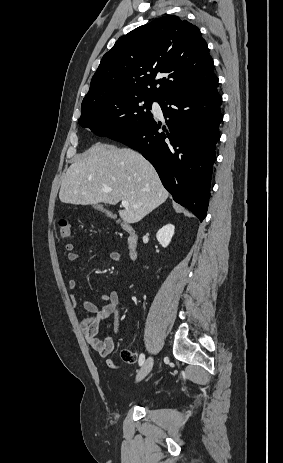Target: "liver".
Instances as JSON below:
<instances>
[{
    "label": "liver",
    "instance_id": "1",
    "mask_svg": "<svg viewBox=\"0 0 283 463\" xmlns=\"http://www.w3.org/2000/svg\"><path fill=\"white\" fill-rule=\"evenodd\" d=\"M169 193L154 167L138 152L96 144L68 168L59 199L74 205L129 203L119 210L126 223L142 220L166 201Z\"/></svg>",
    "mask_w": 283,
    "mask_h": 463
}]
</instances>
